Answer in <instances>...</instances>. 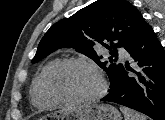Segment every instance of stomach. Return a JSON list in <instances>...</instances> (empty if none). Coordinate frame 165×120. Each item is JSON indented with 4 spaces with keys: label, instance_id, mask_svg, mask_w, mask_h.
<instances>
[{
    "label": "stomach",
    "instance_id": "1",
    "mask_svg": "<svg viewBox=\"0 0 165 120\" xmlns=\"http://www.w3.org/2000/svg\"><path fill=\"white\" fill-rule=\"evenodd\" d=\"M57 118L61 120H121L119 111L109 104H80L69 110L56 111L42 119Z\"/></svg>",
    "mask_w": 165,
    "mask_h": 120
}]
</instances>
